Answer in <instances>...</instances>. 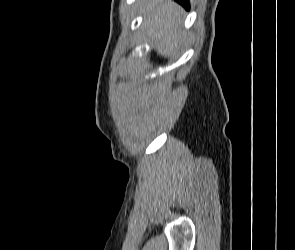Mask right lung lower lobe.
<instances>
[{
  "label": "right lung lower lobe",
  "instance_id": "obj_1",
  "mask_svg": "<svg viewBox=\"0 0 295 250\" xmlns=\"http://www.w3.org/2000/svg\"><path fill=\"white\" fill-rule=\"evenodd\" d=\"M175 1H177L178 3H180L186 9H189L190 8L189 1L188 0H175Z\"/></svg>",
  "mask_w": 295,
  "mask_h": 250
}]
</instances>
